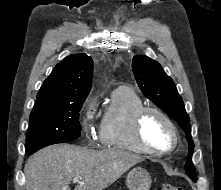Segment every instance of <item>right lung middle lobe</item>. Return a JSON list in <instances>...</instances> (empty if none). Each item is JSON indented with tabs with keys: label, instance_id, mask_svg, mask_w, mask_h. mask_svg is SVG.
Wrapping results in <instances>:
<instances>
[{
	"label": "right lung middle lobe",
	"instance_id": "obj_1",
	"mask_svg": "<svg viewBox=\"0 0 221 190\" xmlns=\"http://www.w3.org/2000/svg\"><path fill=\"white\" fill-rule=\"evenodd\" d=\"M84 101L73 104L34 106L30 114L26 137L27 155L48 145L79 138L81 135L79 112Z\"/></svg>",
	"mask_w": 221,
	"mask_h": 190
}]
</instances>
